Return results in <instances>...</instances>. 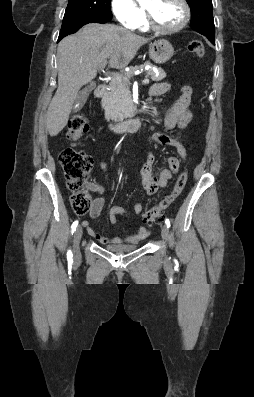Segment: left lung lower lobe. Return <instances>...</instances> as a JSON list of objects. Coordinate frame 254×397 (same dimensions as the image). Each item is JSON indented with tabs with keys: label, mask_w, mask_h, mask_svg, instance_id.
Here are the masks:
<instances>
[{
	"label": "left lung lower lobe",
	"mask_w": 254,
	"mask_h": 397,
	"mask_svg": "<svg viewBox=\"0 0 254 397\" xmlns=\"http://www.w3.org/2000/svg\"><path fill=\"white\" fill-rule=\"evenodd\" d=\"M195 30L197 32L205 35L210 40V42H212V44L215 45V31L212 32V31H206V30H203V29H195Z\"/></svg>",
	"instance_id": "0a47b994"
}]
</instances>
